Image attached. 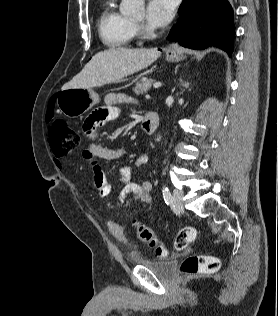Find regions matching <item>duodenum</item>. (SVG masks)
I'll return each instance as SVG.
<instances>
[{
	"instance_id": "obj_1",
	"label": "duodenum",
	"mask_w": 278,
	"mask_h": 316,
	"mask_svg": "<svg viewBox=\"0 0 278 316\" xmlns=\"http://www.w3.org/2000/svg\"><path fill=\"white\" fill-rule=\"evenodd\" d=\"M159 125V116L155 112H149L142 121V129L146 134H152Z\"/></svg>"
}]
</instances>
